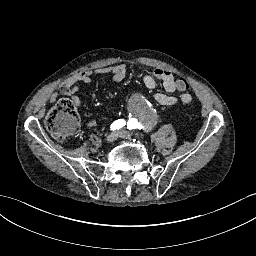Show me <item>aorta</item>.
Masks as SVG:
<instances>
[{
  "mask_svg": "<svg viewBox=\"0 0 256 256\" xmlns=\"http://www.w3.org/2000/svg\"><path fill=\"white\" fill-rule=\"evenodd\" d=\"M129 112L135 116H142V126L147 131H154L159 126L160 111L150 106L148 97L142 93L131 95L127 101Z\"/></svg>",
  "mask_w": 256,
  "mask_h": 256,
  "instance_id": "obj_1",
  "label": "aorta"
}]
</instances>
